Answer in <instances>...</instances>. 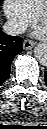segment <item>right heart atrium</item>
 <instances>
[{
  "label": "right heart atrium",
  "instance_id": "right-heart-atrium-1",
  "mask_svg": "<svg viewBox=\"0 0 47 129\" xmlns=\"http://www.w3.org/2000/svg\"><path fill=\"white\" fill-rule=\"evenodd\" d=\"M3 11L13 33H21L34 20V15L27 10L20 0H4Z\"/></svg>",
  "mask_w": 47,
  "mask_h": 129
}]
</instances>
